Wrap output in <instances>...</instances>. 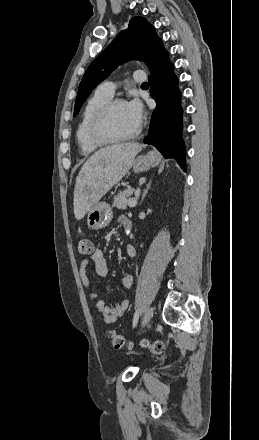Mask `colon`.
Returning a JSON list of instances; mask_svg holds the SVG:
<instances>
[{
  "instance_id": "colon-1",
  "label": "colon",
  "mask_w": 259,
  "mask_h": 440,
  "mask_svg": "<svg viewBox=\"0 0 259 440\" xmlns=\"http://www.w3.org/2000/svg\"><path fill=\"white\" fill-rule=\"evenodd\" d=\"M93 245L91 240L85 235H79L77 238V251L81 255H88L92 252ZM109 338L114 348L122 349L129 348L131 343L126 340L124 336L121 334L110 331ZM142 347L149 348L154 353H162L165 350V344L162 341H154L150 342L148 340H143L141 342Z\"/></svg>"
}]
</instances>
